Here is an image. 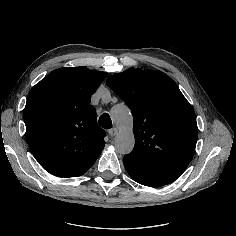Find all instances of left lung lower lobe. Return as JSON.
<instances>
[{
    "instance_id": "1",
    "label": "left lung lower lobe",
    "mask_w": 236,
    "mask_h": 236,
    "mask_svg": "<svg viewBox=\"0 0 236 236\" xmlns=\"http://www.w3.org/2000/svg\"><path fill=\"white\" fill-rule=\"evenodd\" d=\"M123 162L131 178L142 185H146L150 187H159L164 184H168L164 182L163 180L145 172L144 170L140 169L134 164H131L127 161H123Z\"/></svg>"
}]
</instances>
